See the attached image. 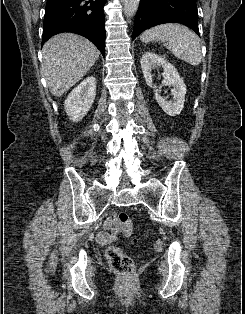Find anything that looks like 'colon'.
<instances>
[{
  "label": "colon",
  "mask_w": 245,
  "mask_h": 314,
  "mask_svg": "<svg viewBox=\"0 0 245 314\" xmlns=\"http://www.w3.org/2000/svg\"><path fill=\"white\" fill-rule=\"evenodd\" d=\"M116 222L126 237H130L134 232V226L130 216L126 212H119L116 216ZM163 244L156 241L152 245L154 252L161 251ZM107 258L111 267L124 276H130L134 272L135 265L133 260L126 255L119 247L111 246L107 250Z\"/></svg>",
  "instance_id": "5ec220e1"
}]
</instances>
